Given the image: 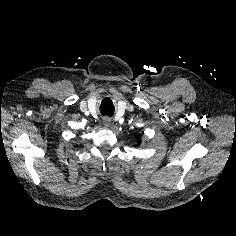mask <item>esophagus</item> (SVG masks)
Segmentation results:
<instances>
[{
  "label": "esophagus",
  "mask_w": 236,
  "mask_h": 236,
  "mask_svg": "<svg viewBox=\"0 0 236 236\" xmlns=\"http://www.w3.org/2000/svg\"><path fill=\"white\" fill-rule=\"evenodd\" d=\"M103 124H104V126L108 127L111 124V120L109 118H105V119H103Z\"/></svg>",
  "instance_id": "34e87169"
}]
</instances>
